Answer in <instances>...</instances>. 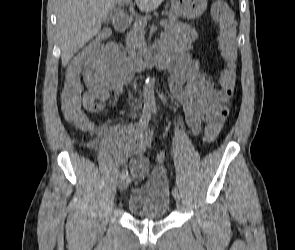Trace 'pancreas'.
Instances as JSON below:
<instances>
[{"mask_svg":"<svg viewBox=\"0 0 295 250\" xmlns=\"http://www.w3.org/2000/svg\"><path fill=\"white\" fill-rule=\"evenodd\" d=\"M164 15L168 16L165 24L166 27L178 22L179 16L175 13L169 11L165 12ZM144 28L145 26L140 25L138 19H136L130 32L126 35V49L132 58H135L136 54L142 52L145 48Z\"/></svg>","mask_w":295,"mask_h":250,"instance_id":"pancreas-1","label":"pancreas"}]
</instances>
